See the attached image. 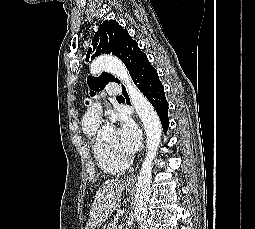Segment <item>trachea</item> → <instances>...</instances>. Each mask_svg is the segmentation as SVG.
I'll return each instance as SVG.
<instances>
[{"label": "trachea", "instance_id": "1", "mask_svg": "<svg viewBox=\"0 0 255 229\" xmlns=\"http://www.w3.org/2000/svg\"><path fill=\"white\" fill-rule=\"evenodd\" d=\"M117 98H123V96H118Z\"/></svg>", "mask_w": 255, "mask_h": 229}]
</instances>
